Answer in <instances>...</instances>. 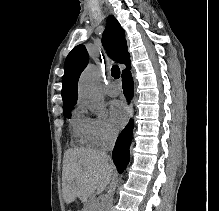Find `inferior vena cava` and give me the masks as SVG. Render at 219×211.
<instances>
[{"label":"inferior vena cava","mask_w":219,"mask_h":211,"mask_svg":"<svg viewBox=\"0 0 219 211\" xmlns=\"http://www.w3.org/2000/svg\"><path fill=\"white\" fill-rule=\"evenodd\" d=\"M116 137H117V131H115V133H110L109 137H107V143L106 145H104L101 151V153H103L105 157H109V159H111V157L110 155H108V151H112L114 147V143L116 141Z\"/></svg>","instance_id":"1"}]
</instances>
